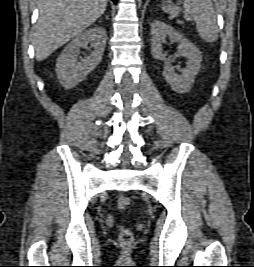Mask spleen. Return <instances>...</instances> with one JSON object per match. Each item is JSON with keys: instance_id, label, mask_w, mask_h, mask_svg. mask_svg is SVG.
<instances>
[{"instance_id": "spleen-1", "label": "spleen", "mask_w": 254, "mask_h": 267, "mask_svg": "<svg viewBox=\"0 0 254 267\" xmlns=\"http://www.w3.org/2000/svg\"><path fill=\"white\" fill-rule=\"evenodd\" d=\"M183 13L187 21L194 20L196 30L205 42H215L218 39L217 16L211 0H183ZM162 10L170 15L178 16L179 7L166 5Z\"/></svg>"}]
</instances>
